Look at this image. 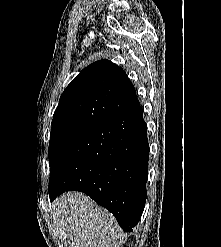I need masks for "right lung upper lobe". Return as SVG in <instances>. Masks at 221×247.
Instances as JSON below:
<instances>
[{"label": "right lung upper lobe", "mask_w": 221, "mask_h": 247, "mask_svg": "<svg viewBox=\"0 0 221 247\" xmlns=\"http://www.w3.org/2000/svg\"><path fill=\"white\" fill-rule=\"evenodd\" d=\"M140 106L125 71L107 59L96 61L64 90L52 120V129L88 128Z\"/></svg>", "instance_id": "right-lung-upper-lobe-1"}]
</instances>
